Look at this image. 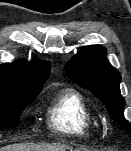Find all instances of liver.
<instances>
[{
  "label": "liver",
  "mask_w": 131,
  "mask_h": 151,
  "mask_svg": "<svg viewBox=\"0 0 131 151\" xmlns=\"http://www.w3.org/2000/svg\"><path fill=\"white\" fill-rule=\"evenodd\" d=\"M70 147L61 144L28 145L15 144L1 148L0 151H67Z\"/></svg>",
  "instance_id": "liver-1"
}]
</instances>
